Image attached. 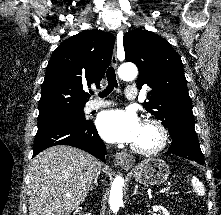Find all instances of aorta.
<instances>
[{
    "instance_id": "obj_1",
    "label": "aorta",
    "mask_w": 221,
    "mask_h": 215,
    "mask_svg": "<svg viewBox=\"0 0 221 215\" xmlns=\"http://www.w3.org/2000/svg\"><path fill=\"white\" fill-rule=\"evenodd\" d=\"M138 69L132 63H126L119 67L118 75L124 81L134 80L137 77ZM123 185L124 179L117 176L112 183L109 197L110 208L113 213L118 212L119 207L123 203Z\"/></svg>"
}]
</instances>
